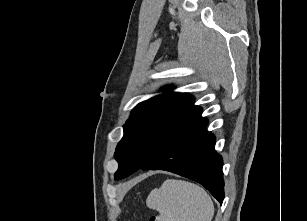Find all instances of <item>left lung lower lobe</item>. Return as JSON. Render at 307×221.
I'll return each instance as SVG.
<instances>
[{
  "label": "left lung lower lobe",
  "instance_id": "left-lung-lower-lobe-1",
  "mask_svg": "<svg viewBox=\"0 0 307 221\" xmlns=\"http://www.w3.org/2000/svg\"><path fill=\"white\" fill-rule=\"evenodd\" d=\"M207 120L167 144L142 170H166L202 184L222 204L224 181L222 157L214 149L215 136L206 131Z\"/></svg>",
  "mask_w": 307,
  "mask_h": 221
}]
</instances>
